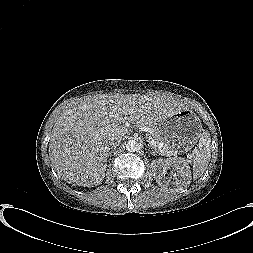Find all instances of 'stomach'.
I'll return each instance as SVG.
<instances>
[{
  "label": "stomach",
  "mask_w": 253,
  "mask_h": 253,
  "mask_svg": "<svg viewBox=\"0 0 253 253\" xmlns=\"http://www.w3.org/2000/svg\"><path fill=\"white\" fill-rule=\"evenodd\" d=\"M164 142L175 152L191 150L202 135V124L192 109L185 108L175 112L153 125Z\"/></svg>",
  "instance_id": "obj_1"
}]
</instances>
